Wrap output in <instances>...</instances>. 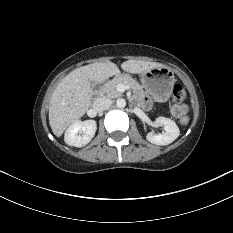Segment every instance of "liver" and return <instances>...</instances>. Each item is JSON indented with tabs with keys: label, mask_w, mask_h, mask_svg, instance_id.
Here are the masks:
<instances>
[{
	"label": "liver",
	"mask_w": 233,
	"mask_h": 233,
	"mask_svg": "<svg viewBox=\"0 0 233 233\" xmlns=\"http://www.w3.org/2000/svg\"><path fill=\"white\" fill-rule=\"evenodd\" d=\"M159 67L164 65L141 60H128L121 64L122 70L132 74ZM119 73L117 65L110 61L85 65L69 73L58 84L50 99L49 124L53 133L60 137L68 126L88 110L92 97L91 81L102 83Z\"/></svg>",
	"instance_id": "6515ba94"
}]
</instances>
